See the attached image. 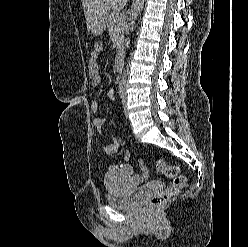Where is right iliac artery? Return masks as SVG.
I'll list each match as a JSON object with an SVG mask.
<instances>
[{
    "label": "right iliac artery",
    "instance_id": "1",
    "mask_svg": "<svg viewBox=\"0 0 248 247\" xmlns=\"http://www.w3.org/2000/svg\"><path fill=\"white\" fill-rule=\"evenodd\" d=\"M124 93H125V88L123 86H120L119 87L118 94H119V96H120L121 99L123 98Z\"/></svg>",
    "mask_w": 248,
    "mask_h": 247
}]
</instances>
